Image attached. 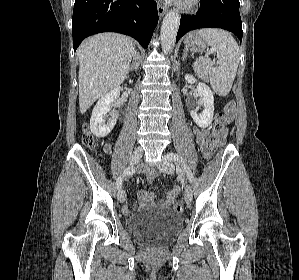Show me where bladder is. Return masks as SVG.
Segmentation results:
<instances>
[{
  "instance_id": "1",
  "label": "bladder",
  "mask_w": 299,
  "mask_h": 280,
  "mask_svg": "<svg viewBox=\"0 0 299 280\" xmlns=\"http://www.w3.org/2000/svg\"><path fill=\"white\" fill-rule=\"evenodd\" d=\"M181 222V217L170 209H148L131 217L127 228L142 242L161 246L176 235Z\"/></svg>"
}]
</instances>
